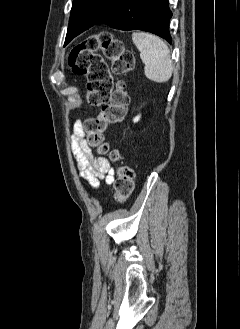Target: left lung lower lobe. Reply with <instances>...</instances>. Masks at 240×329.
<instances>
[{
	"label": "left lung lower lobe",
	"instance_id": "obj_1",
	"mask_svg": "<svg viewBox=\"0 0 240 329\" xmlns=\"http://www.w3.org/2000/svg\"><path fill=\"white\" fill-rule=\"evenodd\" d=\"M168 0H120L96 24L120 30L139 29L154 33L171 43Z\"/></svg>",
	"mask_w": 240,
	"mask_h": 329
}]
</instances>
